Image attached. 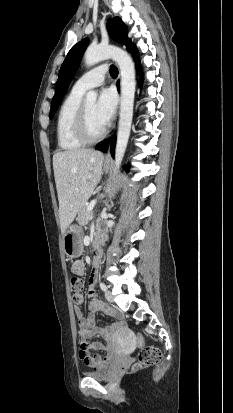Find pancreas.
<instances>
[{
	"instance_id": "cf45deb5",
	"label": "pancreas",
	"mask_w": 233,
	"mask_h": 413,
	"mask_svg": "<svg viewBox=\"0 0 233 413\" xmlns=\"http://www.w3.org/2000/svg\"><path fill=\"white\" fill-rule=\"evenodd\" d=\"M88 206L89 205L84 204L78 213L77 221L79 225L87 224L88 221L91 220L93 216V212L88 211Z\"/></svg>"
}]
</instances>
